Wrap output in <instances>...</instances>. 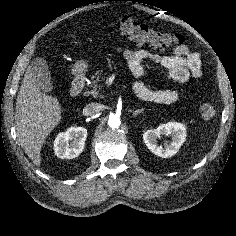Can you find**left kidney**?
Instances as JSON below:
<instances>
[{
  "label": "left kidney",
  "instance_id": "obj_1",
  "mask_svg": "<svg viewBox=\"0 0 236 236\" xmlns=\"http://www.w3.org/2000/svg\"><path fill=\"white\" fill-rule=\"evenodd\" d=\"M185 125L177 122H168L156 129L147 130L143 134V140L147 148L156 156L169 158L175 155L186 139ZM162 136H171L172 141L164 147L158 145L157 139Z\"/></svg>",
  "mask_w": 236,
  "mask_h": 236
}]
</instances>
